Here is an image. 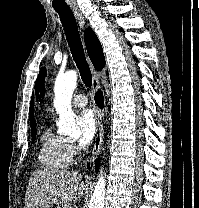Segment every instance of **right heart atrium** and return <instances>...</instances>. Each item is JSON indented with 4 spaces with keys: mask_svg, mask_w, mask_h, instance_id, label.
I'll return each mask as SVG.
<instances>
[{
    "mask_svg": "<svg viewBox=\"0 0 199 208\" xmlns=\"http://www.w3.org/2000/svg\"><path fill=\"white\" fill-rule=\"evenodd\" d=\"M67 152L70 158V161H74V159L78 156V147L75 144H67Z\"/></svg>",
    "mask_w": 199,
    "mask_h": 208,
    "instance_id": "obj_1",
    "label": "right heart atrium"
}]
</instances>
